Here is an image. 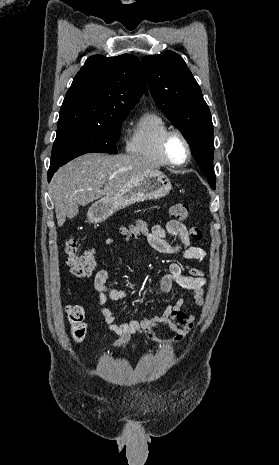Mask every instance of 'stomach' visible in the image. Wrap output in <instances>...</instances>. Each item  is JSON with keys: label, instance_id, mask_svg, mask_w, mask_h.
<instances>
[{"label": "stomach", "instance_id": "stomach-1", "mask_svg": "<svg viewBox=\"0 0 279 465\" xmlns=\"http://www.w3.org/2000/svg\"><path fill=\"white\" fill-rule=\"evenodd\" d=\"M172 185L170 179L159 171L144 172L128 180L120 189L96 201L88 210L93 223L106 220L113 213L136 202L166 196Z\"/></svg>", "mask_w": 279, "mask_h": 465}]
</instances>
